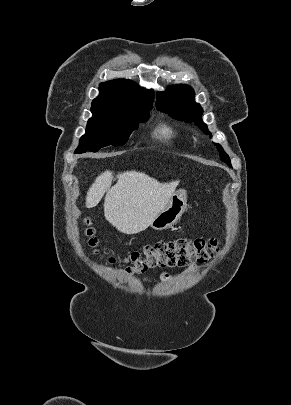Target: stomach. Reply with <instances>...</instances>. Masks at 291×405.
Listing matches in <instances>:
<instances>
[{
	"mask_svg": "<svg viewBox=\"0 0 291 405\" xmlns=\"http://www.w3.org/2000/svg\"><path fill=\"white\" fill-rule=\"evenodd\" d=\"M187 207V194L185 190L176 191L168 201L165 208L152 221L151 227L155 230L170 228L181 218Z\"/></svg>",
	"mask_w": 291,
	"mask_h": 405,
	"instance_id": "1",
	"label": "stomach"
}]
</instances>
